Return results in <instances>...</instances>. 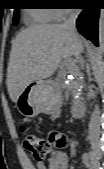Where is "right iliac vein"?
Returning a JSON list of instances; mask_svg holds the SVG:
<instances>
[{
  "label": "right iliac vein",
  "mask_w": 104,
  "mask_h": 169,
  "mask_svg": "<svg viewBox=\"0 0 104 169\" xmlns=\"http://www.w3.org/2000/svg\"><path fill=\"white\" fill-rule=\"evenodd\" d=\"M93 149L95 151V155H96L97 159L100 160L102 158V152H101V150L99 148V145L96 144V143L93 144Z\"/></svg>",
  "instance_id": "63e3f726"
}]
</instances>
